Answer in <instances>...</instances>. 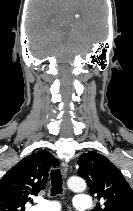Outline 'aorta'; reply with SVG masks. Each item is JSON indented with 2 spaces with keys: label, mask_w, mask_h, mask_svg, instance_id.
<instances>
[{
  "label": "aorta",
  "mask_w": 133,
  "mask_h": 211,
  "mask_svg": "<svg viewBox=\"0 0 133 211\" xmlns=\"http://www.w3.org/2000/svg\"><path fill=\"white\" fill-rule=\"evenodd\" d=\"M68 187L75 192H83L86 189V182L83 178L73 176L68 179Z\"/></svg>",
  "instance_id": "obj_1"
}]
</instances>
